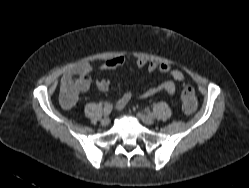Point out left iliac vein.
I'll return each instance as SVG.
<instances>
[{
    "instance_id": "obj_1",
    "label": "left iliac vein",
    "mask_w": 249,
    "mask_h": 188,
    "mask_svg": "<svg viewBox=\"0 0 249 188\" xmlns=\"http://www.w3.org/2000/svg\"><path fill=\"white\" fill-rule=\"evenodd\" d=\"M137 117L147 125H152L154 123V120L150 116H147L143 113L138 112Z\"/></svg>"
}]
</instances>
